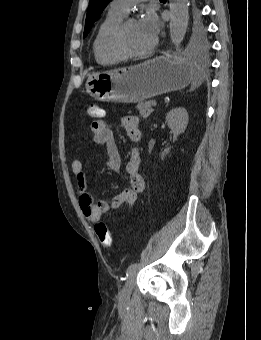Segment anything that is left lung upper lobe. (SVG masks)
I'll return each mask as SVG.
<instances>
[{"label": "left lung upper lobe", "mask_w": 261, "mask_h": 340, "mask_svg": "<svg viewBox=\"0 0 261 340\" xmlns=\"http://www.w3.org/2000/svg\"><path fill=\"white\" fill-rule=\"evenodd\" d=\"M111 1L112 0H90L83 38L88 35L94 22ZM189 42L196 48H204L207 44L205 26L201 20L199 9L196 6H193L190 16Z\"/></svg>", "instance_id": "1"}]
</instances>
